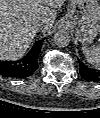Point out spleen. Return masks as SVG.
I'll return each instance as SVG.
<instances>
[{
  "instance_id": "3e777b00",
  "label": "spleen",
  "mask_w": 100,
  "mask_h": 118,
  "mask_svg": "<svg viewBox=\"0 0 100 118\" xmlns=\"http://www.w3.org/2000/svg\"><path fill=\"white\" fill-rule=\"evenodd\" d=\"M83 54L88 63L98 69L100 67V48L99 47H87L82 46Z\"/></svg>"
}]
</instances>
